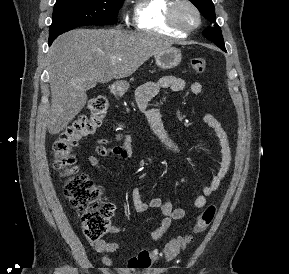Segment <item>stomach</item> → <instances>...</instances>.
Returning a JSON list of instances; mask_svg holds the SVG:
<instances>
[{
	"mask_svg": "<svg viewBox=\"0 0 289 274\" xmlns=\"http://www.w3.org/2000/svg\"><path fill=\"white\" fill-rule=\"evenodd\" d=\"M182 55L179 49L170 47L165 51H162L155 55V61L159 68L161 69H170L176 67L180 64ZM129 88V84L126 81H116L112 85L114 92L122 95Z\"/></svg>",
	"mask_w": 289,
	"mask_h": 274,
	"instance_id": "1",
	"label": "stomach"
}]
</instances>
